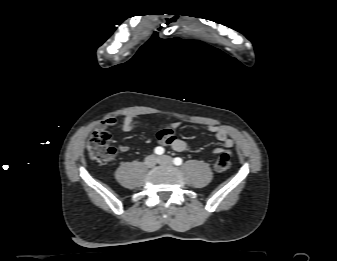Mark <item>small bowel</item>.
Segmentation results:
<instances>
[{
  "mask_svg": "<svg viewBox=\"0 0 337 261\" xmlns=\"http://www.w3.org/2000/svg\"><path fill=\"white\" fill-rule=\"evenodd\" d=\"M118 119L116 117H109L100 122L99 128L105 129L110 126L116 125ZM179 122H173L167 126L159 128L155 132V137L157 142L162 146H168L174 151L182 152L186 150L187 144L184 140L176 136V129L179 127ZM122 129L125 132H130L137 127V119L134 115L128 114L123 117ZM208 131L213 133L217 140L220 141L221 147L214 149V154H221L224 152H230L233 147V140L229 137L227 131L217 125H209ZM119 152L126 153L129 147L126 145H120L118 148Z\"/></svg>",
  "mask_w": 337,
  "mask_h": 261,
  "instance_id": "c3829d8e",
  "label": "small bowel"
}]
</instances>
